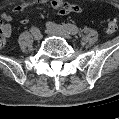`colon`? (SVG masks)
<instances>
[{"label": "colon", "instance_id": "obj_1", "mask_svg": "<svg viewBox=\"0 0 119 119\" xmlns=\"http://www.w3.org/2000/svg\"><path fill=\"white\" fill-rule=\"evenodd\" d=\"M118 23L116 18H111L107 22V32L112 34L117 31ZM6 40V28L4 25H0V45H3Z\"/></svg>", "mask_w": 119, "mask_h": 119}]
</instances>
